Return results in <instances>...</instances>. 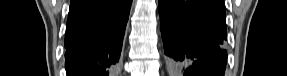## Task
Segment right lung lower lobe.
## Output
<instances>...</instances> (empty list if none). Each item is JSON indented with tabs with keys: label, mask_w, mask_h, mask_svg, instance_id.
I'll return each instance as SVG.
<instances>
[{
	"label": "right lung lower lobe",
	"mask_w": 287,
	"mask_h": 76,
	"mask_svg": "<svg viewBox=\"0 0 287 76\" xmlns=\"http://www.w3.org/2000/svg\"><path fill=\"white\" fill-rule=\"evenodd\" d=\"M132 0H71L65 48L68 76H112Z\"/></svg>",
	"instance_id": "right-lung-lower-lobe-1"
}]
</instances>
